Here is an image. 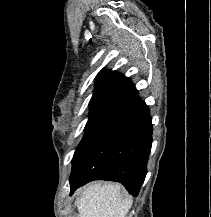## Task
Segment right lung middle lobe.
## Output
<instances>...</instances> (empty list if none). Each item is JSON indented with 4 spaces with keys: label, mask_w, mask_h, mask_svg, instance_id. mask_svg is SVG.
Returning <instances> with one entry per match:
<instances>
[{
    "label": "right lung middle lobe",
    "mask_w": 211,
    "mask_h": 217,
    "mask_svg": "<svg viewBox=\"0 0 211 217\" xmlns=\"http://www.w3.org/2000/svg\"><path fill=\"white\" fill-rule=\"evenodd\" d=\"M113 118H89L86 127L85 134L78 145L72 163V170L76 164L80 161L86 151L92 146L96 138L102 133V131L113 121Z\"/></svg>",
    "instance_id": "right-lung-middle-lobe-1"
}]
</instances>
